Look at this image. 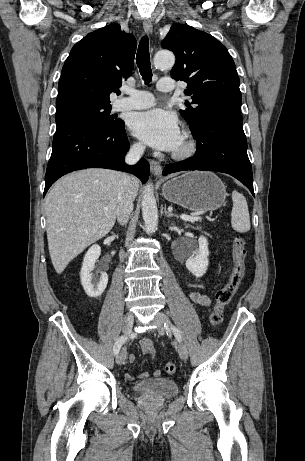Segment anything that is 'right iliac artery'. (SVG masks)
I'll list each match as a JSON object with an SVG mask.
<instances>
[{
	"label": "right iliac artery",
	"instance_id": "82829eb1",
	"mask_svg": "<svg viewBox=\"0 0 305 461\" xmlns=\"http://www.w3.org/2000/svg\"><path fill=\"white\" fill-rule=\"evenodd\" d=\"M128 337L126 335L120 336L114 345L113 352L117 355L120 351L121 346L127 341Z\"/></svg>",
	"mask_w": 305,
	"mask_h": 461
}]
</instances>
